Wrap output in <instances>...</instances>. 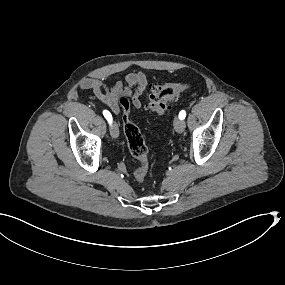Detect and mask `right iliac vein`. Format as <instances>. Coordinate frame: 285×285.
I'll use <instances>...</instances> for the list:
<instances>
[{"label": "right iliac vein", "instance_id": "1", "mask_svg": "<svg viewBox=\"0 0 285 285\" xmlns=\"http://www.w3.org/2000/svg\"><path fill=\"white\" fill-rule=\"evenodd\" d=\"M110 133L112 138L116 139L119 136V128L116 122H114L110 127Z\"/></svg>", "mask_w": 285, "mask_h": 285}]
</instances>
